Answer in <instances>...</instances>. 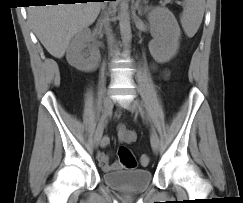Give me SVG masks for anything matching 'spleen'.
<instances>
[{
	"instance_id": "3e777b00",
	"label": "spleen",
	"mask_w": 243,
	"mask_h": 203,
	"mask_svg": "<svg viewBox=\"0 0 243 203\" xmlns=\"http://www.w3.org/2000/svg\"><path fill=\"white\" fill-rule=\"evenodd\" d=\"M184 3L180 22L185 34L191 38L201 25L205 10V0H184Z\"/></svg>"
}]
</instances>
